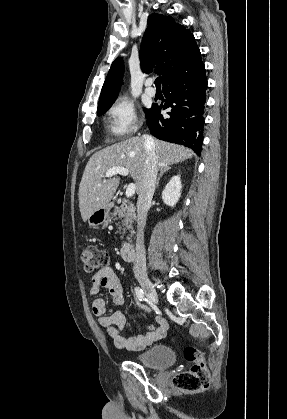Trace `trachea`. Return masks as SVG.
I'll return each mask as SVG.
<instances>
[{"mask_svg":"<svg viewBox=\"0 0 287 419\" xmlns=\"http://www.w3.org/2000/svg\"><path fill=\"white\" fill-rule=\"evenodd\" d=\"M155 85H156L157 88L161 87V77L156 78Z\"/></svg>","mask_w":287,"mask_h":419,"instance_id":"obj_1","label":"trachea"}]
</instances>
